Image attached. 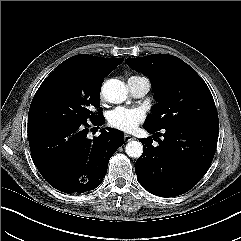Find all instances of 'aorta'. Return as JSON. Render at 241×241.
Listing matches in <instances>:
<instances>
[{"instance_id":"1","label":"aorta","mask_w":241,"mask_h":241,"mask_svg":"<svg viewBox=\"0 0 241 241\" xmlns=\"http://www.w3.org/2000/svg\"><path fill=\"white\" fill-rule=\"evenodd\" d=\"M103 98L114 104L124 102L128 97L125 84L118 79L107 80L101 90ZM125 152L129 157L139 158L143 153V146L139 141H130L125 147Z\"/></svg>"}]
</instances>
